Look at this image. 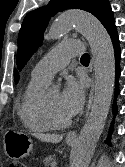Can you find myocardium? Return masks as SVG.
Segmentation results:
<instances>
[{
	"instance_id": "f54148a6",
	"label": "myocardium",
	"mask_w": 125,
	"mask_h": 167,
	"mask_svg": "<svg viewBox=\"0 0 125 167\" xmlns=\"http://www.w3.org/2000/svg\"><path fill=\"white\" fill-rule=\"evenodd\" d=\"M42 111L45 117V120L48 122V124L53 128V129H63L68 127L72 120L70 117L66 119H58L52 112L47 95H44L43 101H42Z\"/></svg>"
}]
</instances>
